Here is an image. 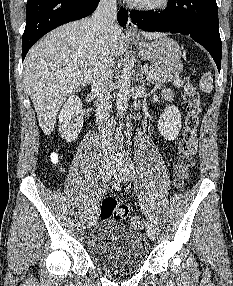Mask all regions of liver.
I'll list each match as a JSON object with an SVG mask.
<instances>
[{
  "mask_svg": "<svg viewBox=\"0 0 233 286\" xmlns=\"http://www.w3.org/2000/svg\"><path fill=\"white\" fill-rule=\"evenodd\" d=\"M92 21L89 17L58 27L34 45L24 60L26 91L46 135L53 131L66 98L92 80L100 38V31L93 29ZM143 35L156 39L161 34L144 32ZM110 43L113 56L123 53L125 36L116 23L110 28Z\"/></svg>",
  "mask_w": 233,
  "mask_h": 286,
  "instance_id": "obj_1",
  "label": "liver"
}]
</instances>
